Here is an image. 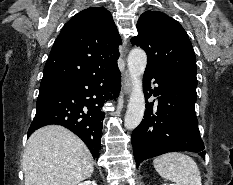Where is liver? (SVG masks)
Listing matches in <instances>:
<instances>
[{
  "instance_id": "liver-1",
  "label": "liver",
  "mask_w": 233,
  "mask_h": 185,
  "mask_svg": "<svg viewBox=\"0 0 233 185\" xmlns=\"http://www.w3.org/2000/svg\"><path fill=\"white\" fill-rule=\"evenodd\" d=\"M25 185H77L94 169L91 152L68 129L49 125L28 139L22 157Z\"/></svg>"
}]
</instances>
